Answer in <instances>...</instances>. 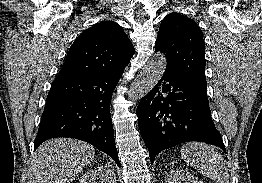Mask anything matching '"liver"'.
<instances>
[{
    "label": "liver",
    "mask_w": 262,
    "mask_h": 183,
    "mask_svg": "<svg viewBox=\"0 0 262 183\" xmlns=\"http://www.w3.org/2000/svg\"><path fill=\"white\" fill-rule=\"evenodd\" d=\"M95 157L90 144L72 138L44 142L32 155L29 183H70Z\"/></svg>",
    "instance_id": "obj_1"
}]
</instances>
